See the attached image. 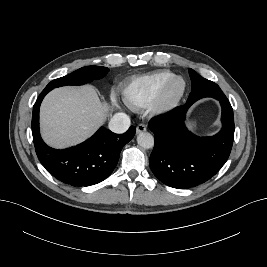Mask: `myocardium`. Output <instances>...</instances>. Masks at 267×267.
<instances>
[{
  "label": "myocardium",
  "instance_id": "obj_1",
  "mask_svg": "<svg viewBox=\"0 0 267 267\" xmlns=\"http://www.w3.org/2000/svg\"><path fill=\"white\" fill-rule=\"evenodd\" d=\"M176 81L182 82V89L176 96L171 97L169 95V90L173 85V83ZM186 89H187V84L184 78L177 75L171 77L162 85L156 97L149 105L150 111L156 115L172 111L179 105V103L183 99L186 93Z\"/></svg>",
  "mask_w": 267,
  "mask_h": 267
}]
</instances>
